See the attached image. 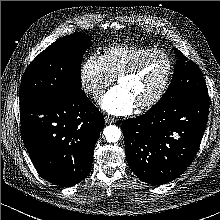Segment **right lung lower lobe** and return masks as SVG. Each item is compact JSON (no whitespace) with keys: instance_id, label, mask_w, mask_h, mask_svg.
I'll return each instance as SVG.
<instances>
[{"instance_id":"1","label":"right lung lower lobe","mask_w":220,"mask_h":220,"mask_svg":"<svg viewBox=\"0 0 220 220\" xmlns=\"http://www.w3.org/2000/svg\"><path fill=\"white\" fill-rule=\"evenodd\" d=\"M20 116L24 144L43 178L70 187L87 176L104 117L85 93L20 102Z\"/></svg>"}]
</instances>
